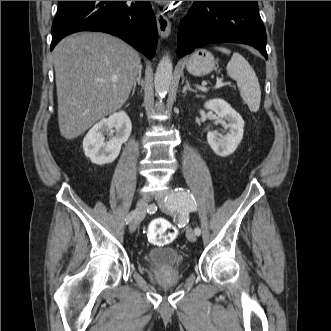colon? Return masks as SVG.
Returning <instances> with one entry per match:
<instances>
[{"label":"colon","mask_w":331,"mask_h":331,"mask_svg":"<svg viewBox=\"0 0 331 331\" xmlns=\"http://www.w3.org/2000/svg\"><path fill=\"white\" fill-rule=\"evenodd\" d=\"M177 235L176 228L166 219L156 218L147 227V237L150 242L164 246L172 242Z\"/></svg>","instance_id":"colon-1"}]
</instances>
